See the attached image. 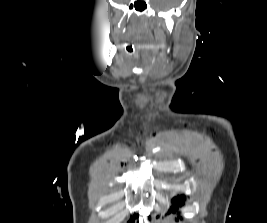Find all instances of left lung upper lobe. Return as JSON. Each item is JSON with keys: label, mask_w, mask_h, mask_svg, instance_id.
I'll list each match as a JSON object with an SVG mask.
<instances>
[{"label": "left lung upper lobe", "mask_w": 267, "mask_h": 223, "mask_svg": "<svg viewBox=\"0 0 267 223\" xmlns=\"http://www.w3.org/2000/svg\"><path fill=\"white\" fill-rule=\"evenodd\" d=\"M186 197L184 195H178L172 199V206H168L165 209V214H176V211H180V206L185 203ZM187 204H194V199H187Z\"/></svg>", "instance_id": "left-lung-upper-lobe-1"}]
</instances>
